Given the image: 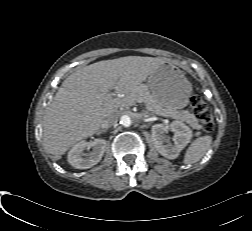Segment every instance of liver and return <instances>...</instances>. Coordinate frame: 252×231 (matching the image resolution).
Returning <instances> with one entry per match:
<instances>
[{
  "mask_svg": "<svg viewBox=\"0 0 252 231\" xmlns=\"http://www.w3.org/2000/svg\"><path fill=\"white\" fill-rule=\"evenodd\" d=\"M165 61L161 58L126 56L104 60L68 76L46 108L43 141L46 150L60 158L75 143L97 133L110 114H117L121 98L108 101L114 89L130 95Z\"/></svg>",
  "mask_w": 252,
  "mask_h": 231,
  "instance_id": "6515ba94",
  "label": "liver"
}]
</instances>
